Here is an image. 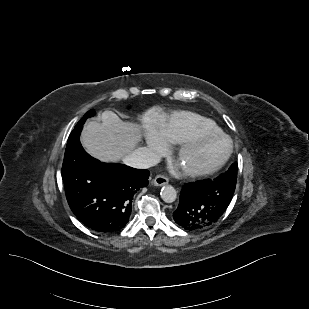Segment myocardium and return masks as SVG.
I'll list each match as a JSON object with an SVG mask.
<instances>
[{
    "label": "myocardium",
    "instance_id": "1",
    "mask_svg": "<svg viewBox=\"0 0 309 309\" xmlns=\"http://www.w3.org/2000/svg\"><path fill=\"white\" fill-rule=\"evenodd\" d=\"M206 139H224L228 143L227 150L225 154L222 156V158L216 162L214 165L208 167V168H182L183 173L191 178H202L210 176L217 171H219L230 159L232 153H233V142L230 139L229 136L224 134L223 132H198L189 137L188 139L184 140L183 142L179 143L178 146L175 149V157L178 160L183 153H185L187 150L191 149L195 145H197L199 142L206 140Z\"/></svg>",
    "mask_w": 309,
    "mask_h": 309
}]
</instances>
